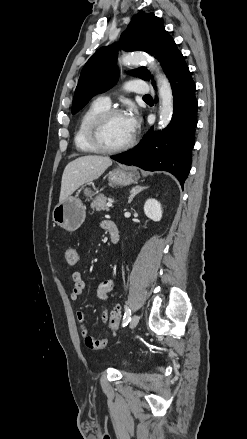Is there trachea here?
I'll return each mask as SVG.
<instances>
[{
	"instance_id": "1",
	"label": "trachea",
	"mask_w": 247,
	"mask_h": 439,
	"mask_svg": "<svg viewBox=\"0 0 247 439\" xmlns=\"http://www.w3.org/2000/svg\"><path fill=\"white\" fill-rule=\"evenodd\" d=\"M143 98L149 99V98H151V96L150 95H145Z\"/></svg>"
}]
</instances>
